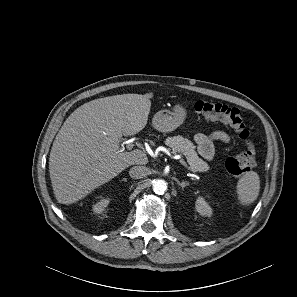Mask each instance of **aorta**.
Instances as JSON below:
<instances>
[{
    "instance_id": "obj_1",
    "label": "aorta",
    "mask_w": 297,
    "mask_h": 297,
    "mask_svg": "<svg viewBox=\"0 0 297 297\" xmlns=\"http://www.w3.org/2000/svg\"><path fill=\"white\" fill-rule=\"evenodd\" d=\"M167 190V183L162 180L158 179L153 182V191L158 194L162 195Z\"/></svg>"
}]
</instances>
